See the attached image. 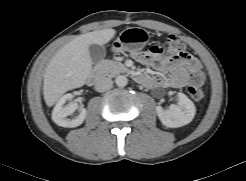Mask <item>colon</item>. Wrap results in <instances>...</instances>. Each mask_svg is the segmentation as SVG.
<instances>
[{"label": "colon", "instance_id": "1", "mask_svg": "<svg viewBox=\"0 0 246 181\" xmlns=\"http://www.w3.org/2000/svg\"><path fill=\"white\" fill-rule=\"evenodd\" d=\"M186 45L175 36H167L165 44L163 46H154L152 51L155 53H169L175 54L184 51ZM193 79L196 84L189 87L188 92L195 101H201L205 97L204 91L200 88V84L203 82V75L200 70L199 64H195L193 67Z\"/></svg>", "mask_w": 246, "mask_h": 181}]
</instances>
